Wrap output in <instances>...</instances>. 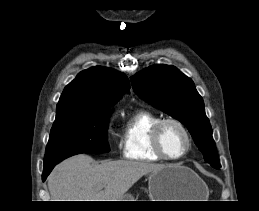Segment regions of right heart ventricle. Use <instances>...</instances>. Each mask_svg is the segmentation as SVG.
I'll return each mask as SVG.
<instances>
[{"mask_svg": "<svg viewBox=\"0 0 259 211\" xmlns=\"http://www.w3.org/2000/svg\"><path fill=\"white\" fill-rule=\"evenodd\" d=\"M161 117L146 109L133 112L121 131L123 156L135 161H160L152 146V131Z\"/></svg>", "mask_w": 259, "mask_h": 211, "instance_id": "e07e8e85", "label": "right heart ventricle"}]
</instances>
